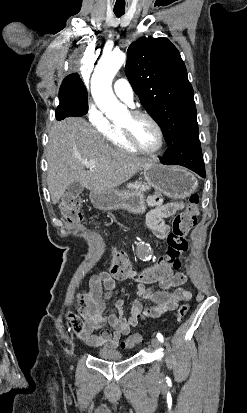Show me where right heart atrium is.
<instances>
[{
    "label": "right heart atrium",
    "instance_id": "1",
    "mask_svg": "<svg viewBox=\"0 0 247 413\" xmlns=\"http://www.w3.org/2000/svg\"><path fill=\"white\" fill-rule=\"evenodd\" d=\"M103 105H90L89 110L86 112V117L92 119L94 127L97 133H109L113 126L110 125V120L106 119ZM81 130H92V129H81Z\"/></svg>",
    "mask_w": 247,
    "mask_h": 413
}]
</instances>
